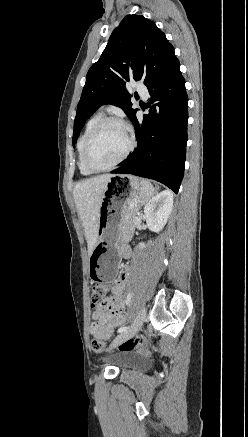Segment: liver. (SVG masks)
I'll list each match as a JSON object with an SVG mask.
<instances>
[{"mask_svg": "<svg viewBox=\"0 0 248 437\" xmlns=\"http://www.w3.org/2000/svg\"><path fill=\"white\" fill-rule=\"evenodd\" d=\"M113 174H104L77 183L73 189V197L82 224L88 245V254L91 255L98 240L99 209L109 180Z\"/></svg>", "mask_w": 248, "mask_h": 437, "instance_id": "1", "label": "liver"}]
</instances>
